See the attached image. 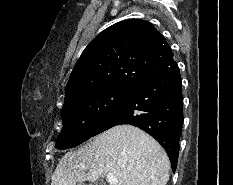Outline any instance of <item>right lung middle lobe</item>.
I'll return each instance as SVG.
<instances>
[{
    "label": "right lung middle lobe",
    "mask_w": 233,
    "mask_h": 185,
    "mask_svg": "<svg viewBox=\"0 0 233 185\" xmlns=\"http://www.w3.org/2000/svg\"><path fill=\"white\" fill-rule=\"evenodd\" d=\"M130 89L107 88L79 96L63 107L59 149L75 147L93 136L103 120L126 98Z\"/></svg>",
    "instance_id": "obj_1"
}]
</instances>
